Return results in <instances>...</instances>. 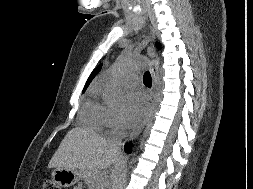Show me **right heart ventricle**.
I'll list each match as a JSON object with an SVG mask.
<instances>
[{"label":"right heart ventricle","instance_id":"right-heart-ventricle-1","mask_svg":"<svg viewBox=\"0 0 253 189\" xmlns=\"http://www.w3.org/2000/svg\"><path fill=\"white\" fill-rule=\"evenodd\" d=\"M99 92L97 87L90 91L80 113L81 122L94 130L102 129L106 123L107 107L99 101Z\"/></svg>","mask_w":253,"mask_h":189}]
</instances>
